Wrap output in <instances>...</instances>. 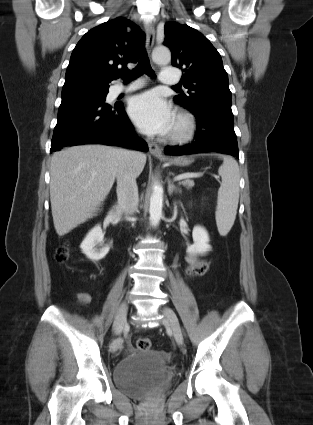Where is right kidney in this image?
Returning a JSON list of instances; mask_svg holds the SVG:
<instances>
[{"label": "right kidney", "mask_w": 313, "mask_h": 425, "mask_svg": "<svg viewBox=\"0 0 313 425\" xmlns=\"http://www.w3.org/2000/svg\"><path fill=\"white\" fill-rule=\"evenodd\" d=\"M104 233L100 225L95 226L80 245L82 252L91 260L98 261L109 252L108 245L103 246Z\"/></svg>", "instance_id": "1"}]
</instances>
